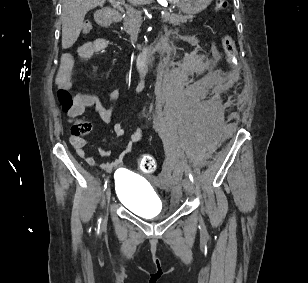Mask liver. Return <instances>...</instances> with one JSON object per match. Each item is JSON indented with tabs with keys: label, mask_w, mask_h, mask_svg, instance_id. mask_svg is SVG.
I'll return each mask as SVG.
<instances>
[{
	"label": "liver",
	"mask_w": 308,
	"mask_h": 283,
	"mask_svg": "<svg viewBox=\"0 0 308 283\" xmlns=\"http://www.w3.org/2000/svg\"><path fill=\"white\" fill-rule=\"evenodd\" d=\"M106 0H63L62 5V48H70L78 39L85 15ZM134 5L147 4L151 0H128Z\"/></svg>",
	"instance_id": "liver-1"
}]
</instances>
